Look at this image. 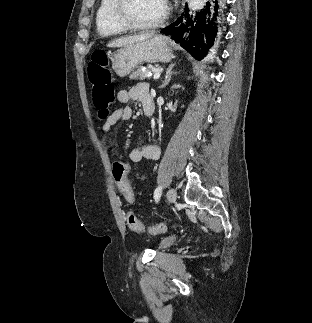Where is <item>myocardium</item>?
Listing matches in <instances>:
<instances>
[{
	"label": "myocardium",
	"mask_w": 312,
	"mask_h": 323,
	"mask_svg": "<svg viewBox=\"0 0 312 323\" xmlns=\"http://www.w3.org/2000/svg\"><path fill=\"white\" fill-rule=\"evenodd\" d=\"M113 2V8H111L110 13L118 25H125L126 31H148V27L162 25L163 21L168 19L167 13H171L173 8L172 3H163L164 14L161 18L135 20L130 12H124L128 8V5L125 3L127 0H113ZM165 2H168V0H165Z\"/></svg>",
	"instance_id": "myocardium-1"
}]
</instances>
